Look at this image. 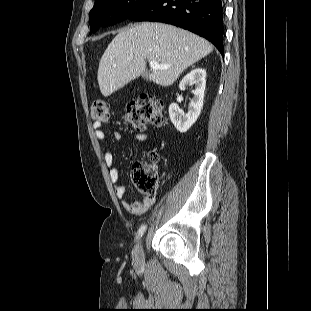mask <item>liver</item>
<instances>
[{
	"label": "liver",
	"instance_id": "1",
	"mask_svg": "<svg viewBox=\"0 0 311 311\" xmlns=\"http://www.w3.org/2000/svg\"><path fill=\"white\" fill-rule=\"evenodd\" d=\"M213 46L189 31L163 23L144 22L122 29L101 57L97 73L105 97L142 76L161 86L172 85L190 65L207 56ZM146 61L169 65L152 73Z\"/></svg>",
	"mask_w": 311,
	"mask_h": 311
}]
</instances>
